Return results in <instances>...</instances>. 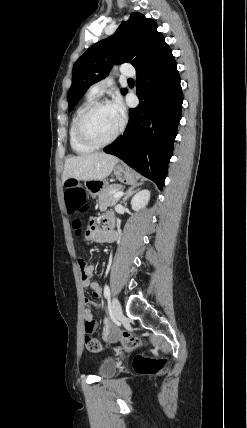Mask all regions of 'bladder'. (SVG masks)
I'll use <instances>...</instances> for the list:
<instances>
[{
    "label": "bladder",
    "instance_id": "bladder-1",
    "mask_svg": "<svg viewBox=\"0 0 247 428\" xmlns=\"http://www.w3.org/2000/svg\"><path fill=\"white\" fill-rule=\"evenodd\" d=\"M116 372V361L113 358L104 359L98 369V374L102 378H109Z\"/></svg>",
    "mask_w": 247,
    "mask_h": 428
}]
</instances>
